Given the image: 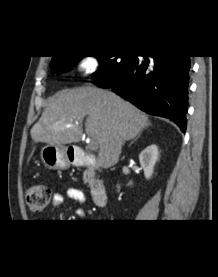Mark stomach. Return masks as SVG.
Masks as SVG:
<instances>
[{
  "label": "stomach",
  "instance_id": "1",
  "mask_svg": "<svg viewBox=\"0 0 218 277\" xmlns=\"http://www.w3.org/2000/svg\"><path fill=\"white\" fill-rule=\"evenodd\" d=\"M41 160L49 169H66L70 166L67 149L63 146L46 145L41 150Z\"/></svg>",
  "mask_w": 218,
  "mask_h": 277
}]
</instances>
